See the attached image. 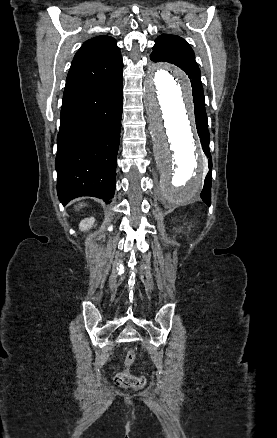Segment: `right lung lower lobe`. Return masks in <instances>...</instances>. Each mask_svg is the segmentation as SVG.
I'll return each mask as SVG.
<instances>
[{
    "label": "right lung lower lobe",
    "mask_w": 277,
    "mask_h": 438,
    "mask_svg": "<svg viewBox=\"0 0 277 438\" xmlns=\"http://www.w3.org/2000/svg\"><path fill=\"white\" fill-rule=\"evenodd\" d=\"M122 81L121 70L63 96L55 161L63 205L78 196H94L107 203L114 196Z\"/></svg>",
    "instance_id": "obj_1"
}]
</instances>
